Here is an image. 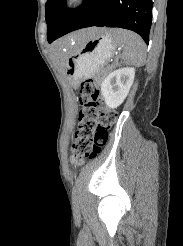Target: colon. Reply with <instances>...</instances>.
Segmentation results:
<instances>
[{
  "label": "colon",
  "mask_w": 183,
  "mask_h": 246,
  "mask_svg": "<svg viewBox=\"0 0 183 246\" xmlns=\"http://www.w3.org/2000/svg\"><path fill=\"white\" fill-rule=\"evenodd\" d=\"M78 102L79 125L72 145L75 165L97 155L107 142L109 130L117 118L114 110L102 105L98 85L92 79L81 83Z\"/></svg>",
  "instance_id": "obj_1"
}]
</instances>
